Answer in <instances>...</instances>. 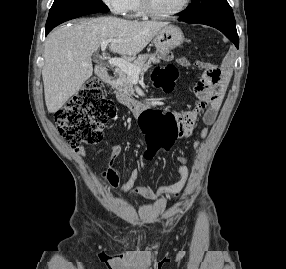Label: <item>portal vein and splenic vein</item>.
I'll return each mask as SVG.
<instances>
[{
    "label": "portal vein and splenic vein",
    "instance_id": "obj_1",
    "mask_svg": "<svg viewBox=\"0 0 286 269\" xmlns=\"http://www.w3.org/2000/svg\"><path fill=\"white\" fill-rule=\"evenodd\" d=\"M111 41V39H106L101 42L102 51L106 50L107 45ZM108 63L111 66L118 67L119 69L130 75L133 81H137L139 79L140 69L138 67L133 66V64H131L130 62L120 58H112L108 60Z\"/></svg>",
    "mask_w": 286,
    "mask_h": 269
}]
</instances>
